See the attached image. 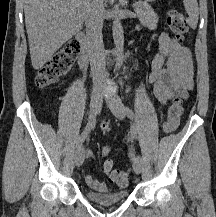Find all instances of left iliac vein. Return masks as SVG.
Returning <instances> with one entry per match:
<instances>
[{"instance_id":"obj_1","label":"left iliac vein","mask_w":216,"mask_h":217,"mask_svg":"<svg viewBox=\"0 0 216 217\" xmlns=\"http://www.w3.org/2000/svg\"><path fill=\"white\" fill-rule=\"evenodd\" d=\"M106 103L116 118L120 120H123L125 118L126 116L125 107L119 97L117 96L108 97L106 99ZM132 166L136 174L141 173L142 163L139 157L133 160Z\"/></svg>"}]
</instances>
